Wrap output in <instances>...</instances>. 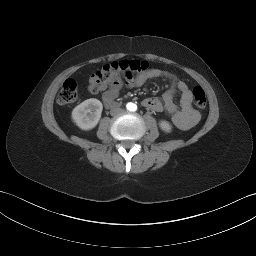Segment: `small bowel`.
I'll return each instance as SVG.
<instances>
[{"label":"small bowel","mask_w":256,"mask_h":256,"mask_svg":"<svg viewBox=\"0 0 256 256\" xmlns=\"http://www.w3.org/2000/svg\"><path fill=\"white\" fill-rule=\"evenodd\" d=\"M164 77L170 80L171 84L163 94V103L155 97H148L142 101V105L148 109L159 112L163 109L171 116L173 124L181 129L192 128L200 119V114L192 108V92L188 85L168 71L152 69L148 73L130 79H117L108 86L104 85L103 98L115 99L123 88H134L142 86L148 79ZM180 93V105L174 103L176 93Z\"/></svg>","instance_id":"1"}]
</instances>
